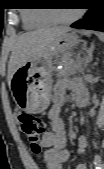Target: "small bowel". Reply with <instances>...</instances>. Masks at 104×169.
Returning a JSON list of instances; mask_svg holds the SVG:
<instances>
[{
    "instance_id": "c3829d8e",
    "label": "small bowel",
    "mask_w": 104,
    "mask_h": 169,
    "mask_svg": "<svg viewBox=\"0 0 104 169\" xmlns=\"http://www.w3.org/2000/svg\"><path fill=\"white\" fill-rule=\"evenodd\" d=\"M73 91L74 98L87 96L85 89L77 83L60 82L53 96V105L48 112V122L51 130L46 132L41 139V146L46 148L43 157V166L45 169H62V166L67 162L71 155L66 146L65 124L60 113L65 101L67 89ZM87 148V140L85 137H80L78 140L77 153L82 155ZM76 169H87L85 164H78Z\"/></svg>"
}]
</instances>
